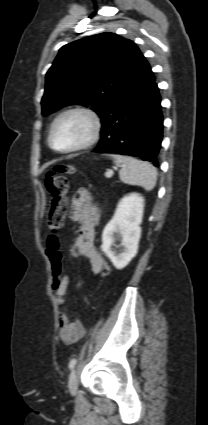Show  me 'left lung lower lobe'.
<instances>
[{"label":"left lung lower lobe","mask_w":208,"mask_h":425,"mask_svg":"<svg viewBox=\"0 0 208 425\" xmlns=\"http://www.w3.org/2000/svg\"><path fill=\"white\" fill-rule=\"evenodd\" d=\"M160 103L156 78L145 60L104 108L101 140L95 152L138 156L158 167L163 131Z\"/></svg>","instance_id":"0a47b994"}]
</instances>
